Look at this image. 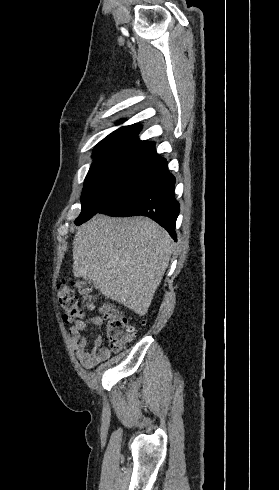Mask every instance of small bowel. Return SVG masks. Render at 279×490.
I'll use <instances>...</instances> for the list:
<instances>
[{"mask_svg": "<svg viewBox=\"0 0 279 490\" xmlns=\"http://www.w3.org/2000/svg\"><path fill=\"white\" fill-rule=\"evenodd\" d=\"M103 322L104 319L100 316H88L76 320L69 329V344L76 351L78 360L85 368H93L101 362L108 360L112 355L109 348L101 347L103 343L102 335H98L95 338L92 349L88 348L87 340L83 335L88 324L92 323L100 326Z\"/></svg>", "mask_w": 279, "mask_h": 490, "instance_id": "small-bowel-1", "label": "small bowel"}]
</instances>
